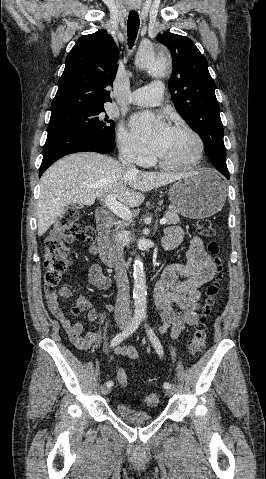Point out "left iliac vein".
<instances>
[{"mask_svg": "<svg viewBox=\"0 0 266 479\" xmlns=\"http://www.w3.org/2000/svg\"><path fill=\"white\" fill-rule=\"evenodd\" d=\"M173 394H174V388L173 387L167 388L166 395L172 396Z\"/></svg>", "mask_w": 266, "mask_h": 479, "instance_id": "1", "label": "left iliac vein"}]
</instances>
